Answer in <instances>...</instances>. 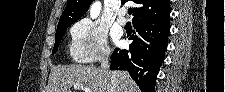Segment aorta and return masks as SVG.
Masks as SVG:
<instances>
[{"mask_svg":"<svg viewBox=\"0 0 225 92\" xmlns=\"http://www.w3.org/2000/svg\"><path fill=\"white\" fill-rule=\"evenodd\" d=\"M101 11V3L100 2H95L92 4L91 8H90V16L91 18H96Z\"/></svg>","mask_w":225,"mask_h":92,"instance_id":"aorta-1","label":"aorta"}]
</instances>
